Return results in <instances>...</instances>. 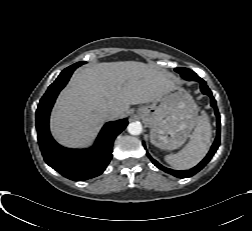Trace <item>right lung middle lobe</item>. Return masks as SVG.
Masks as SVG:
<instances>
[{
	"label": "right lung middle lobe",
	"instance_id": "dd1d6c3e",
	"mask_svg": "<svg viewBox=\"0 0 252 231\" xmlns=\"http://www.w3.org/2000/svg\"><path fill=\"white\" fill-rule=\"evenodd\" d=\"M79 63V65H82V64H85L86 62H78Z\"/></svg>",
	"mask_w": 252,
	"mask_h": 231
}]
</instances>
